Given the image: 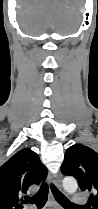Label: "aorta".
<instances>
[{
    "label": "aorta",
    "mask_w": 98,
    "mask_h": 209,
    "mask_svg": "<svg viewBox=\"0 0 98 209\" xmlns=\"http://www.w3.org/2000/svg\"><path fill=\"white\" fill-rule=\"evenodd\" d=\"M63 187L66 192L74 193L78 188V184L75 178L73 177H66L63 180Z\"/></svg>",
    "instance_id": "obj_1"
}]
</instances>
